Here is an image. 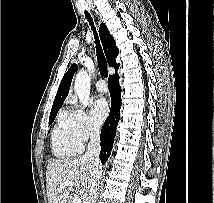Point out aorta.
Here are the masks:
<instances>
[{
  "mask_svg": "<svg viewBox=\"0 0 214 203\" xmlns=\"http://www.w3.org/2000/svg\"><path fill=\"white\" fill-rule=\"evenodd\" d=\"M90 75L84 69H81L75 78L74 91L77 94L83 107L88 105L90 96Z\"/></svg>",
  "mask_w": 214,
  "mask_h": 203,
  "instance_id": "1",
  "label": "aorta"
}]
</instances>
